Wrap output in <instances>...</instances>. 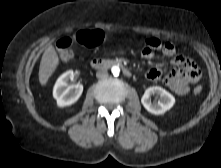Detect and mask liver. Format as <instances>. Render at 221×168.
I'll list each match as a JSON object with an SVG mask.
<instances>
[{
    "label": "liver",
    "instance_id": "6515ba94",
    "mask_svg": "<svg viewBox=\"0 0 221 168\" xmlns=\"http://www.w3.org/2000/svg\"><path fill=\"white\" fill-rule=\"evenodd\" d=\"M59 64V57L53 46L43 53L39 67V82L45 86Z\"/></svg>",
    "mask_w": 221,
    "mask_h": 168
}]
</instances>
